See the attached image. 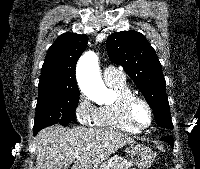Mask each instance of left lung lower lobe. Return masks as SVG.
<instances>
[{"label":"left lung lower lobe","mask_w":200,"mask_h":169,"mask_svg":"<svg viewBox=\"0 0 200 169\" xmlns=\"http://www.w3.org/2000/svg\"><path fill=\"white\" fill-rule=\"evenodd\" d=\"M161 140L168 142L171 145V147H173V144H174L173 138H171V137H164Z\"/></svg>","instance_id":"obj_1"}]
</instances>
